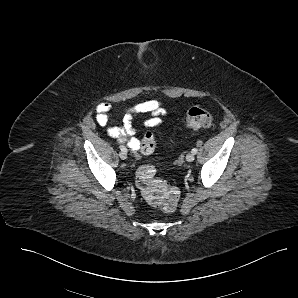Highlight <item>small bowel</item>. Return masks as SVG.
<instances>
[{
    "instance_id": "small-bowel-1",
    "label": "small bowel",
    "mask_w": 298,
    "mask_h": 298,
    "mask_svg": "<svg viewBox=\"0 0 298 298\" xmlns=\"http://www.w3.org/2000/svg\"><path fill=\"white\" fill-rule=\"evenodd\" d=\"M113 106L110 103H100L96 108V121L100 126H106L109 121V114ZM141 114H147L149 117L144 121V126L148 128L157 127L162 123V117L167 115V110L163 104L157 100H147L134 105L122 112V125L113 126L107 129L110 137L118 143H127L134 151L140 148V141L134 137L135 128L134 119Z\"/></svg>"
}]
</instances>
